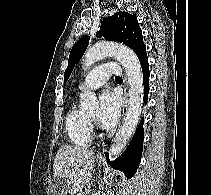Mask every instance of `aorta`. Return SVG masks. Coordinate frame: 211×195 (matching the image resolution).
Returning <instances> with one entry per match:
<instances>
[{"label": "aorta", "mask_w": 211, "mask_h": 195, "mask_svg": "<svg viewBox=\"0 0 211 195\" xmlns=\"http://www.w3.org/2000/svg\"><path fill=\"white\" fill-rule=\"evenodd\" d=\"M115 57L123 66L128 76L129 107L125 121L118 130L109 150L110 158L115 159L126 146L130 137L136 130L143 105V73L136 54L127 47L109 42H98L90 47L84 56V67H90L95 62L108 57ZM80 108L83 111H94L98 109V101L89 90L80 95Z\"/></svg>", "instance_id": "obj_1"}]
</instances>
